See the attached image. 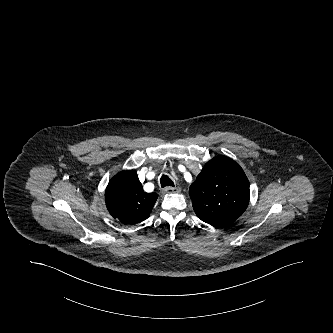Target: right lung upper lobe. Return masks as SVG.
Here are the masks:
<instances>
[{
  "label": "right lung upper lobe",
  "mask_w": 333,
  "mask_h": 333,
  "mask_svg": "<svg viewBox=\"0 0 333 333\" xmlns=\"http://www.w3.org/2000/svg\"><path fill=\"white\" fill-rule=\"evenodd\" d=\"M158 195L146 193L134 170L114 176L106 189L108 211L124 224L139 223L150 216Z\"/></svg>",
  "instance_id": "obj_1"
}]
</instances>
